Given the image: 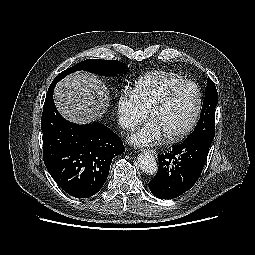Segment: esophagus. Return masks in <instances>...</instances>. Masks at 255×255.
<instances>
[{"mask_svg":"<svg viewBox=\"0 0 255 255\" xmlns=\"http://www.w3.org/2000/svg\"><path fill=\"white\" fill-rule=\"evenodd\" d=\"M141 151L149 152V153H151V154H153V155L156 154V151H155L154 149H143V150H141Z\"/></svg>","mask_w":255,"mask_h":255,"instance_id":"obj_1","label":"esophagus"}]
</instances>
